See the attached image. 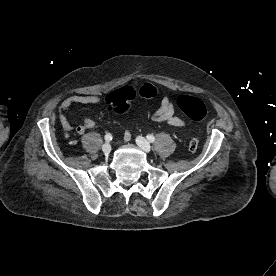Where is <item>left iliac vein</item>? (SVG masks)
<instances>
[{
    "label": "left iliac vein",
    "mask_w": 276,
    "mask_h": 276,
    "mask_svg": "<svg viewBox=\"0 0 276 276\" xmlns=\"http://www.w3.org/2000/svg\"><path fill=\"white\" fill-rule=\"evenodd\" d=\"M136 142L138 146L144 150L146 153H149L151 151V146L149 142L142 136H138L136 139Z\"/></svg>",
    "instance_id": "obj_1"
}]
</instances>
